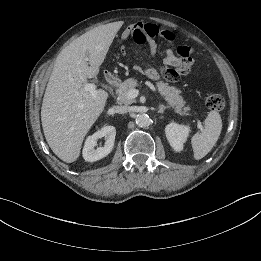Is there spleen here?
<instances>
[{
	"label": "spleen",
	"instance_id": "obj_1",
	"mask_svg": "<svg viewBox=\"0 0 261 261\" xmlns=\"http://www.w3.org/2000/svg\"><path fill=\"white\" fill-rule=\"evenodd\" d=\"M205 127L201 133H196L191 138L194 151V159L200 160L205 157L216 144L222 130L220 114L211 111L204 121Z\"/></svg>",
	"mask_w": 261,
	"mask_h": 261
}]
</instances>
